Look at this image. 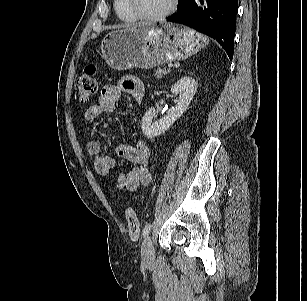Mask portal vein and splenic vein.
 I'll list each match as a JSON object with an SVG mask.
<instances>
[{
  "instance_id": "1",
  "label": "portal vein and splenic vein",
  "mask_w": 307,
  "mask_h": 301,
  "mask_svg": "<svg viewBox=\"0 0 307 301\" xmlns=\"http://www.w3.org/2000/svg\"><path fill=\"white\" fill-rule=\"evenodd\" d=\"M168 67H169V68H172V67H173V64H168Z\"/></svg>"
}]
</instances>
